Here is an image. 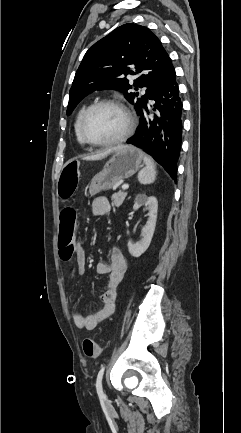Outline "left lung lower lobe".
<instances>
[{"label":"left lung lower lobe","instance_id":"0a47b994","mask_svg":"<svg viewBox=\"0 0 241 433\" xmlns=\"http://www.w3.org/2000/svg\"><path fill=\"white\" fill-rule=\"evenodd\" d=\"M149 99L153 104H146L143 108L137 131L127 143L142 148L176 181L182 144L183 105L172 64Z\"/></svg>","mask_w":241,"mask_h":433}]
</instances>
